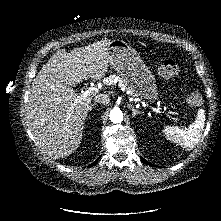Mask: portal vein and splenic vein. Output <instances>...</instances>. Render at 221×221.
<instances>
[{"instance_id": "obj_1", "label": "portal vein and splenic vein", "mask_w": 221, "mask_h": 221, "mask_svg": "<svg viewBox=\"0 0 221 221\" xmlns=\"http://www.w3.org/2000/svg\"><path fill=\"white\" fill-rule=\"evenodd\" d=\"M99 89L97 87H91L88 90L82 92L80 96L77 97V100H83L88 96L95 95L98 93ZM164 111H167L166 109ZM167 113H170V111H167Z\"/></svg>"}]
</instances>
